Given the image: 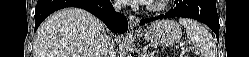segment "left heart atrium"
<instances>
[{
	"label": "left heart atrium",
	"mask_w": 249,
	"mask_h": 57,
	"mask_svg": "<svg viewBox=\"0 0 249 57\" xmlns=\"http://www.w3.org/2000/svg\"><path fill=\"white\" fill-rule=\"evenodd\" d=\"M128 2L135 3V4H146V3H150L151 0H129Z\"/></svg>",
	"instance_id": "obj_1"
}]
</instances>
